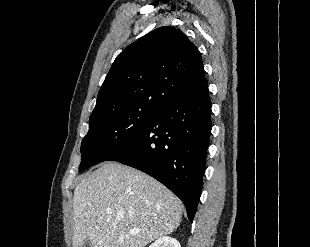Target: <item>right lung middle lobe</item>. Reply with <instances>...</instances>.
I'll use <instances>...</instances> for the list:
<instances>
[{
  "label": "right lung middle lobe",
  "mask_w": 310,
  "mask_h": 247,
  "mask_svg": "<svg viewBox=\"0 0 310 247\" xmlns=\"http://www.w3.org/2000/svg\"><path fill=\"white\" fill-rule=\"evenodd\" d=\"M153 108H127L89 119V131L81 143L79 170L94 166L125 148L154 115Z\"/></svg>",
  "instance_id": "dd1d6c3e"
}]
</instances>
